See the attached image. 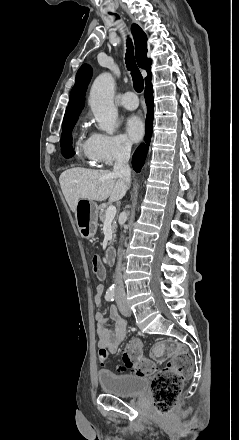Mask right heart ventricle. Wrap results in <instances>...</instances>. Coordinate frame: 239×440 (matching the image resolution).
<instances>
[{
    "label": "right heart ventricle",
    "mask_w": 239,
    "mask_h": 440,
    "mask_svg": "<svg viewBox=\"0 0 239 440\" xmlns=\"http://www.w3.org/2000/svg\"><path fill=\"white\" fill-rule=\"evenodd\" d=\"M76 147L77 149L80 151L81 157L84 161V163L89 164V165H94L97 162L91 158L87 152H86V141L83 140V138L81 136H78L76 139Z\"/></svg>",
    "instance_id": "e07e8e85"
}]
</instances>
